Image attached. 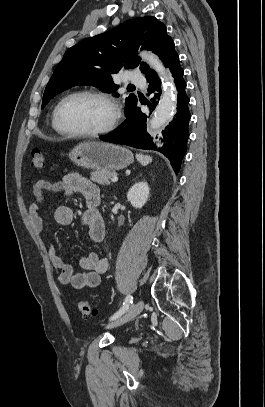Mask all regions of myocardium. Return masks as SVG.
Here are the masks:
<instances>
[{"label": "myocardium", "instance_id": "f54148a6", "mask_svg": "<svg viewBox=\"0 0 265 407\" xmlns=\"http://www.w3.org/2000/svg\"><path fill=\"white\" fill-rule=\"evenodd\" d=\"M76 96L93 97V98H96V99H99V100L105 102L110 107L111 112H112L109 123L105 127L101 128L99 130L92 131V132H75V131L66 130L62 126V123L60 120L61 108L67 100H69L70 98L76 97ZM119 116H120L119 108H118L116 102L110 96H108L102 92H98V91H94V90H77V91H73V92L65 95L58 102L57 106L54 109L53 120H54V125H55L56 130L60 134L66 136V137L96 138V137H100V136H103V135H106V134L112 132L118 124Z\"/></svg>", "mask_w": 265, "mask_h": 407}]
</instances>
